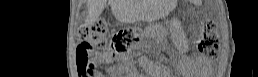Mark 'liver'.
I'll return each instance as SVG.
<instances>
[{"label":"liver","instance_id":"obj_1","mask_svg":"<svg viewBox=\"0 0 258 77\" xmlns=\"http://www.w3.org/2000/svg\"><path fill=\"white\" fill-rule=\"evenodd\" d=\"M107 0H88L87 8H88V17L87 23H92L98 19L100 14L103 12ZM111 10L113 15L119 21H131L134 7L132 6V2L125 0H110Z\"/></svg>","mask_w":258,"mask_h":77}]
</instances>
